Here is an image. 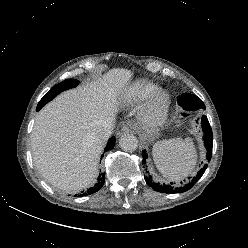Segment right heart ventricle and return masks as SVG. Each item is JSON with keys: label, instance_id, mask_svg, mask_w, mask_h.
<instances>
[{"label": "right heart ventricle", "instance_id": "obj_1", "mask_svg": "<svg viewBox=\"0 0 248 248\" xmlns=\"http://www.w3.org/2000/svg\"><path fill=\"white\" fill-rule=\"evenodd\" d=\"M158 84L141 79L134 82L124 95V100L128 105H139L159 91Z\"/></svg>", "mask_w": 248, "mask_h": 248}]
</instances>
